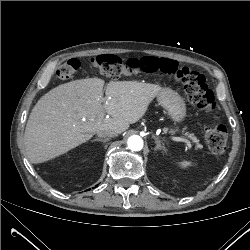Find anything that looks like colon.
I'll use <instances>...</instances> for the list:
<instances>
[{
  "label": "colon",
  "instance_id": "5ec220e1",
  "mask_svg": "<svg viewBox=\"0 0 250 250\" xmlns=\"http://www.w3.org/2000/svg\"><path fill=\"white\" fill-rule=\"evenodd\" d=\"M90 65L100 74L109 78H120L138 73L146 74H174L183 84L188 100L201 110L219 117L217 104L213 92L208 88L206 77L202 71L189 66L179 67L170 59L144 57L140 59H121L115 55H101L91 59ZM81 67L78 59H71L62 64L56 71L58 79L66 81L72 79ZM228 131L220 123L209 126L205 131V140L213 153H222L227 145Z\"/></svg>",
  "mask_w": 250,
  "mask_h": 250
}]
</instances>
